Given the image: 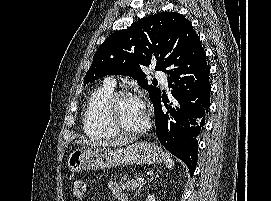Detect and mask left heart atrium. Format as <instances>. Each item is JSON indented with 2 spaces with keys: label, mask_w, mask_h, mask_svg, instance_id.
<instances>
[{
  "label": "left heart atrium",
  "mask_w": 271,
  "mask_h": 201,
  "mask_svg": "<svg viewBox=\"0 0 271 201\" xmlns=\"http://www.w3.org/2000/svg\"><path fill=\"white\" fill-rule=\"evenodd\" d=\"M140 104H141L142 109H143L144 111H146L145 105L143 104V102L140 101Z\"/></svg>",
  "instance_id": "left-heart-atrium-1"
}]
</instances>
